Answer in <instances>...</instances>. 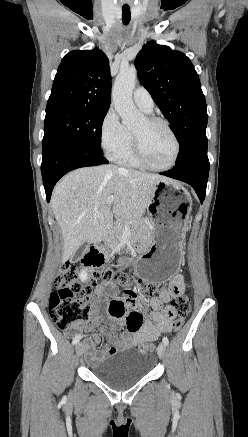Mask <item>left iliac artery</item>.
<instances>
[{"instance_id": "44dca946", "label": "left iliac artery", "mask_w": 248, "mask_h": 437, "mask_svg": "<svg viewBox=\"0 0 248 437\" xmlns=\"http://www.w3.org/2000/svg\"><path fill=\"white\" fill-rule=\"evenodd\" d=\"M162 341L166 346L169 344V340L167 337H163Z\"/></svg>"}]
</instances>
